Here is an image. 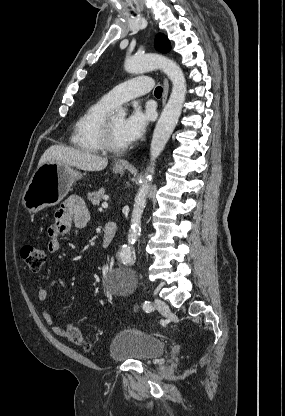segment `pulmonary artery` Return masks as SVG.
Instances as JSON below:
<instances>
[{
    "mask_svg": "<svg viewBox=\"0 0 285 416\" xmlns=\"http://www.w3.org/2000/svg\"><path fill=\"white\" fill-rule=\"evenodd\" d=\"M152 79L148 76H138L118 84L107 92L102 99L114 106L120 101L133 102L136 96L143 95L152 88ZM132 87V88H131Z\"/></svg>",
    "mask_w": 285,
    "mask_h": 416,
    "instance_id": "1",
    "label": "pulmonary artery"
}]
</instances>
